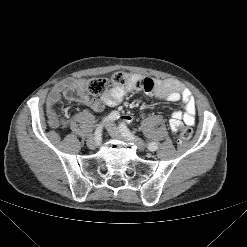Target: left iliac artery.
Returning a JSON list of instances; mask_svg holds the SVG:
<instances>
[{"label": "left iliac artery", "mask_w": 247, "mask_h": 247, "mask_svg": "<svg viewBox=\"0 0 247 247\" xmlns=\"http://www.w3.org/2000/svg\"><path fill=\"white\" fill-rule=\"evenodd\" d=\"M119 128H120V131L122 132V134H124L125 136H133L125 124H123V123L120 124ZM157 148H158V145L155 142H151L148 144V149L150 151H156Z\"/></svg>", "instance_id": "obj_1"}]
</instances>
